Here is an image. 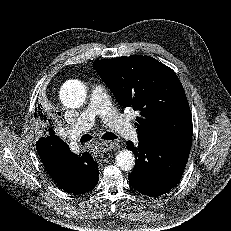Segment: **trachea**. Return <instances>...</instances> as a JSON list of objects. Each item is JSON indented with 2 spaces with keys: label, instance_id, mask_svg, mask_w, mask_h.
<instances>
[{
  "label": "trachea",
  "instance_id": "obj_1",
  "mask_svg": "<svg viewBox=\"0 0 231 231\" xmlns=\"http://www.w3.org/2000/svg\"><path fill=\"white\" fill-rule=\"evenodd\" d=\"M118 137L112 133V132H106L105 134L102 135V139L104 140H114V139H117ZM92 139V136L89 135V134H85L81 137V142L84 143V142H88Z\"/></svg>",
  "mask_w": 231,
  "mask_h": 231
}]
</instances>
